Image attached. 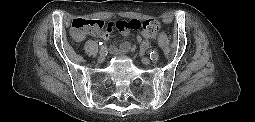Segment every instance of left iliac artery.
I'll list each match as a JSON object with an SVG mask.
<instances>
[{"label": "left iliac artery", "instance_id": "obj_1", "mask_svg": "<svg viewBox=\"0 0 255 122\" xmlns=\"http://www.w3.org/2000/svg\"><path fill=\"white\" fill-rule=\"evenodd\" d=\"M158 57H159V55H158L157 52H155V51L150 52V59H151L152 61H157V60H158Z\"/></svg>", "mask_w": 255, "mask_h": 122}]
</instances>
